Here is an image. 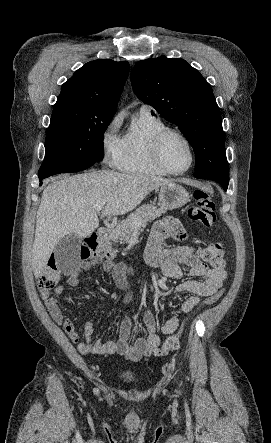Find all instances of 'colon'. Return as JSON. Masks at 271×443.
Returning <instances> with one entry per match:
<instances>
[{
    "label": "colon",
    "instance_id": "obj_1",
    "mask_svg": "<svg viewBox=\"0 0 271 443\" xmlns=\"http://www.w3.org/2000/svg\"><path fill=\"white\" fill-rule=\"evenodd\" d=\"M195 205L188 211L192 221L200 223L206 228L215 224V203L211 195L201 189L194 192ZM113 251L105 240L92 237L81 248L83 259H102L112 257ZM201 257L214 269L223 270L226 264V252L220 243H210L201 251ZM61 272L55 258H51L46 268L37 278V287L41 292H47L54 288L60 278ZM223 294L220 290L206 298L202 306H210L216 303ZM183 326L176 334L167 337L163 345L154 351L155 356L162 357L176 351L180 347V337Z\"/></svg>",
    "mask_w": 271,
    "mask_h": 443
}]
</instances>
